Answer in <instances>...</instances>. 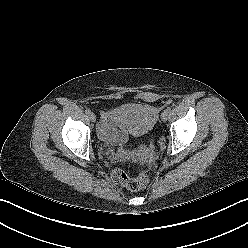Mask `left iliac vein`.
Masks as SVG:
<instances>
[{
	"label": "left iliac vein",
	"mask_w": 248,
	"mask_h": 248,
	"mask_svg": "<svg viewBox=\"0 0 248 248\" xmlns=\"http://www.w3.org/2000/svg\"><path fill=\"white\" fill-rule=\"evenodd\" d=\"M169 110H164L163 112H162V114H161V119L163 120V121H166L167 119H168V116H169Z\"/></svg>",
	"instance_id": "1"
}]
</instances>
